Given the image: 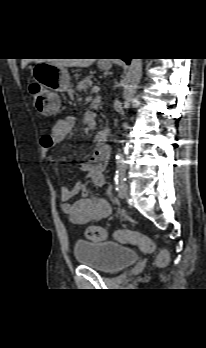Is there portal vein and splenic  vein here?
Wrapping results in <instances>:
<instances>
[{
	"label": "portal vein and splenic vein",
	"mask_w": 206,
	"mask_h": 348,
	"mask_svg": "<svg viewBox=\"0 0 206 348\" xmlns=\"http://www.w3.org/2000/svg\"><path fill=\"white\" fill-rule=\"evenodd\" d=\"M100 88L98 86H94L92 89H91V93H97L99 92Z\"/></svg>",
	"instance_id": "portal-vein-and-splenic-vein-1"
}]
</instances>
